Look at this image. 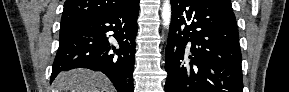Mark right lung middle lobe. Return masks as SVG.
Instances as JSON below:
<instances>
[{
	"instance_id": "right-lung-middle-lobe-1",
	"label": "right lung middle lobe",
	"mask_w": 289,
	"mask_h": 92,
	"mask_svg": "<svg viewBox=\"0 0 289 92\" xmlns=\"http://www.w3.org/2000/svg\"><path fill=\"white\" fill-rule=\"evenodd\" d=\"M76 25H65L60 27V36L71 31Z\"/></svg>"
}]
</instances>
